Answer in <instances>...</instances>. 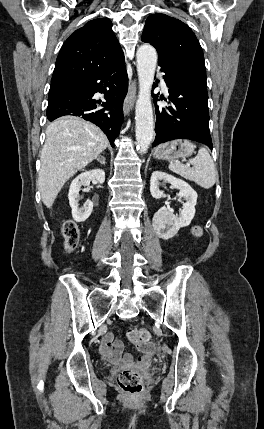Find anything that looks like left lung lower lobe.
I'll list each match as a JSON object with an SVG mask.
<instances>
[{"label": "left lung lower lobe", "instance_id": "obj_1", "mask_svg": "<svg viewBox=\"0 0 264 429\" xmlns=\"http://www.w3.org/2000/svg\"><path fill=\"white\" fill-rule=\"evenodd\" d=\"M158 65L165 73L163 78L171 105L165 108L155 105L156 137L152 145L173 139H190L212 149L207 86L164 58H158Z\"/></svg>", "mask_w": 264, "mask_h": 429}]
</instances>
